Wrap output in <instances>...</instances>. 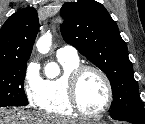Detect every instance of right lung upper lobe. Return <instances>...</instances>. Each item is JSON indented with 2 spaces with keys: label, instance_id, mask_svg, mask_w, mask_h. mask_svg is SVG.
<instances>
[{
  "label": "right lung upper lobe",
  "instance_id": "cb5924a9",
  "mask_svg": "<svg viewBox=\"0 0 145 124\" xmlns=\"http://www.w3.org/2000/svg\"><path fill=\"white\" fill-rule=\"evenodd\" d=\"M38 29L35 8L27 7L11 15L0 29V63L28 60Z\"/></svg>",
  "mask_w": 145,
  "mask_h": 124
}]
</instances>
